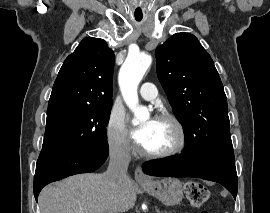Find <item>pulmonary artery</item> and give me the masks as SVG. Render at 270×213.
<instances>
[{
  "mask_svg": "<svg viewBox=\"0 0 270 213\" xmlns=\"http://www.w3.org/2000/svg\"><path fill=\"white\" fill-rule=\"evenodd\" d=\"M140 95L145 100H153L157 95L156 86L151 82H145L141 86Z\"/></svg>",
  "mask_w": 270,
  "mask_h": 213,
  "instance_id": "pulmonary-artery-1",
  "label": "pulmonary artery"
}]
</instances>
